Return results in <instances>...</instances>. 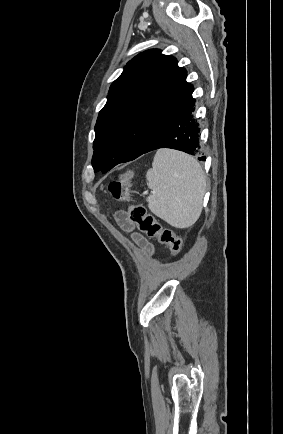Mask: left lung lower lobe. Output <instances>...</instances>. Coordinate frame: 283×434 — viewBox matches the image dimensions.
<instances>
[{"mask_svg": "<svg viewBox=\"0 0 283 434\" xmlns=\"http://www.w3.org/2000/svg\"><path fill=\"white\" fill-rule=\"evenodd\" d=\"M195 99L188 96L164 121L148 144L144 153L159 149L172 148L195 155L199 152V126L195 123L193 112ZM205 161V157H198Z\"/></svg>", "mask_w": 283, "mask_h": 434, "instance_id": "1", "label": "left lung lower lobe"}]
</instances>
